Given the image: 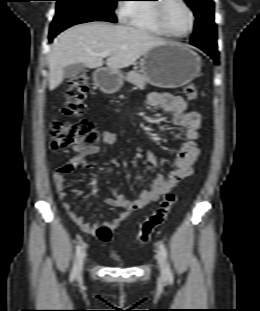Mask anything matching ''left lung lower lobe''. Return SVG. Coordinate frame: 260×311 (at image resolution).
<instances>
[{
    "label": "left lung lower lobe",
    "mask_w": 260,
    "mask_h": 311,
    "mask_svg": "<svg viewBox=\"0 0 260 311\" xmlns=\"http://www.w3.org/2000/svg\"><path fill=\"white\" fill-rule=\"evenodd\" d=\"M192 44V43H191ZM198 48H200L201 50H203L204 52H206L210 57H212L214 59V61L216 63H218L219 59H218V50L217 47H208V46H204L201 44H192Z\"/></svg>",
    "instance_id": "obj_1"
}]
</instances>
